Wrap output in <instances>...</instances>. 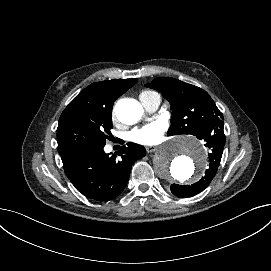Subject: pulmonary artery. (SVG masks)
<instances>
[{"label":"pulmonary artery","instance_id":"pulmonary-artery-1","mask_svg":"<svg viewBox=\"0 0 271 271\" xmlns=\"http://www.w3.org/2000/svg\"><path fill=\"white\" fill-rule=\"evenodd\" d=\"M140 100H141L142 105L149 112L156 111L161 103V98L159 95L145 96V97L140 98ZM109 151H110V146L107 145L105 147V152H109Z\"/></svg>","mask_w":271,"mask_h":271}]
</instances>
